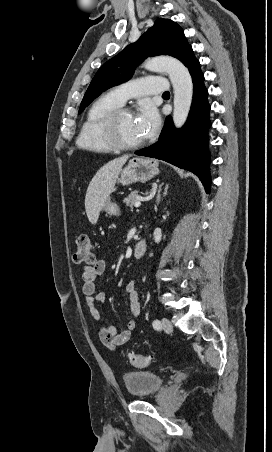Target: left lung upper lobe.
Wrapping results in <instances>:
<instances>
[{"label":"left lung upper lobe","mask_w":272,"mask_h":452,"mask_svg":"<svg viewBox=\"0 0 272 452\" xmlns=\"http://www.w3.org/2000/svg\"><path fill=\"white\" fill-rule=\"evenodd\" d=\"M191 49L181 27L169 19H158L135 43L104 63L90 83L80 112L107 89L131 78L135 67L149 56L169 55L181 62Z\"/></svg>","instance_id":"5c2ea615"}]
</instances>
